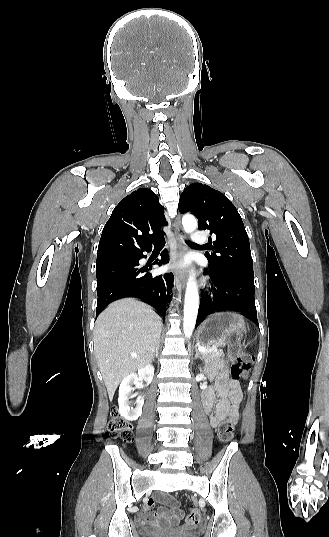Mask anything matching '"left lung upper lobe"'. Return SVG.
<instances>
[{"instance_id":"obj_1","label":"left lung upper lobe","mask_w":329,"mask_h":537,"mask_svg":"<svg viewBox=\"0 0 329 537\" xmlns=\"http://www.w3.org/2000/svg\"><path fill=\"white\" fill-rule=\"evenodd\" d=\"M180 212L193 213L199 230H210L216 240L207 253L209 268L215 272L254 278L249 238L242 219L231 201L221 192L201 183H192L180 196ZM211 241V237H210Z\"/></svg>"}]
</instances>
